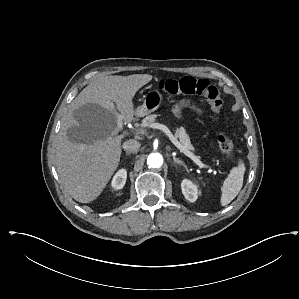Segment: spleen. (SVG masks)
Instances as JSON below:
<instances>
[{
  "instance_id": "spleen-1",
  "label": "spleen",
  "mask_w": 299,
  "mask_h": 299,
  "mask_svg": "<svg viewBox=\"0 0 299 299\" xmlns=\"http://www.w3.org/2000/svg\"><path fill=\"white\" fill-rule=\"evenodd\" d=\"M245 170L246 168L243 160L239 159L238 166L231 169L228 177L223 182L220 198L221 206H226L238 195L243 186Z\"/></svg>"
}]
</instances>
